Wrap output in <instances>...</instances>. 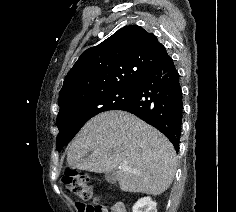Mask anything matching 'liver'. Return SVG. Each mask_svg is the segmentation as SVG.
Wrapping results in <instances>:
<instances>
[{
    "label": "liver",
    "mask_w": 236,
    "mask_h": 212,
    "mask_svg": "<svg viewBox=\"0 0 236 212\" xmlns=\"http://www.w3.org/2000/svg\"><path fill=\"white\" fill-rule=\"evenodd\" d=\"M67 162L73 169L95 173L117 170L121 190L156 196L171 185L177 159L160 131L128 112L108 111L83 126L69 147Z\"/></svg>",
    "instance_id": "6515ba94"
}]
</instances>
